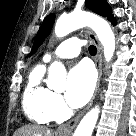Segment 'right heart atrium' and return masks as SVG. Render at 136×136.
Wrapping results in <instances>:
<instances>
[{
  "instance_id": "d8ad5b80",
  "label": "right heart atrium",
  "mask_w": 136,
  "mask_h": 136,
  "mask_svg": "<svg viewBox=\"0 0 136 136\" xmlns=\"http://www.w3.org/2000/svg\"><path fill=\"white\" fill-rule=\"evenodd\" d=\"M50 107L55 119H61L67 112L62 97L57 93H52V96L50 98Z\"/></svg>"
}]
</instances>
